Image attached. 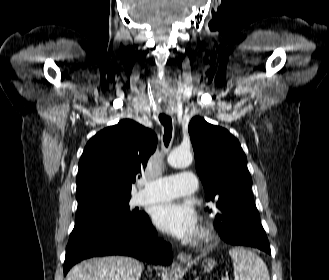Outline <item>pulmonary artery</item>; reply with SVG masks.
Returning a JSON list of instances; mask_svg holds the SVG:
<instances>
[{
  "instance_id": "1",
  "label": "pulmonary artery",
  "mask_w": 329,
  "mask_h": 280,
  "mask_svg": "<svg viewBox=\"0 0 329 280\" xmlns=\"http://www.w3.org/2000/svg\"><path fill=\"white\" fill-rule=\"evenodd\" d=\"M197 189V178L193 172L185 171L167 175L146 184L138 194L139 204H148L188 196Z\"/></svg>"
}]
</instances>
